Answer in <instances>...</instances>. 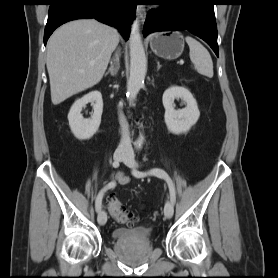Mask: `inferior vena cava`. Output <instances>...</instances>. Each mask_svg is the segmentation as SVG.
<instances>
[{
  "instance_id": "inferior-vena-cava-1",
  "label": "inferior vena cava",
  "mask_w": 278,
  "mask_h": 278,
  "mask_svg": "<svg viewBox=\"0 0 278 278\" xmlns=\"http://www.w3.org/2000/svg\"><path fill=\"white\" fill-rule=\"evenodd\" d=\"M120 124L122 127V137L117 152L124 154H133L131 140L129 136L128 124L122 114H120Z\"/></svg>"
}]
</instances>
